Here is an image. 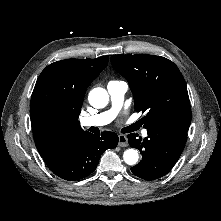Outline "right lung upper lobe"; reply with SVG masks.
Returning <instances> with one entry per match:
<instances>
[{
    "label": "right lung upper lobe",
    "mask_w": 221,
    "mask_h": 221,
    "mask_svg": "<svg viewBox=\"0 0 221 221\" xmlns=\"http://www.w3.org/2000/svg\"><path fill=\"white\" fill-rule=\"evenodd\" d=\"M108 56L95 59H66L47 66L40 78L50 75L62 81L82 104L87 87L107 66ZM30 118L36 147L41 156L57 151L84 131L78 116L52 113L30 102Z\"/></svg>",
    "instance_id": "right-lung-upper-lobe-1"
}]
</instances>
